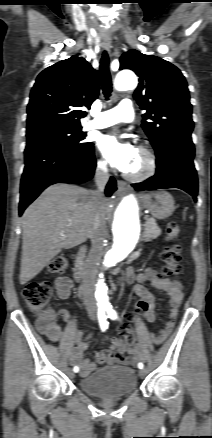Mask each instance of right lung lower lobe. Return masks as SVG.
Listing matches in <instances>:
<instances>
[{"mask_svg": "<svg viewBox=\"0 0 212 438\" xmlns=\"http://www.w3.org/2000/svg\"><path fill=\"white\" fill-rule=\"evenodd\" d=\"M95 168L92 143L83 148H66L47 143L27 144L19 215L49 185L86 182L93 177ZM115 190L116 181L111 177L105 193L111 196Z\"/></svg>", "mask_w": 212, "mask_h": 438, "instance_id": "obj_1", "label": "right lung lower lobe"}]
</instances>
